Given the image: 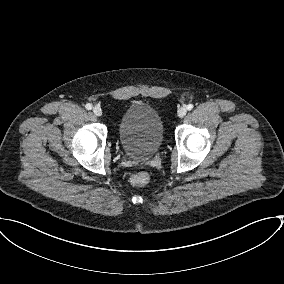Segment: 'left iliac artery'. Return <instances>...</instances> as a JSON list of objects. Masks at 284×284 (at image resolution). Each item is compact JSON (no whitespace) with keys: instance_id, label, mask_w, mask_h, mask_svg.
Returning a JSON list of instances; mask_svg holds the SVG:
<instances>
[{"instance_id":"44dca946","label":"left iliac artery","mask_w":284,"mask_h":284,"mask_svg":"<svg viewBox=\"0 0 284 284\" xmlns=\"http://www.w3.org/2000/svg\"><path fill=\"white\" fill-rule=\"evenodd\" d=\"M186 109L189 110V111L192 110L193 109V104H188L186 106Z\"/></svg>"}]
</instances>
